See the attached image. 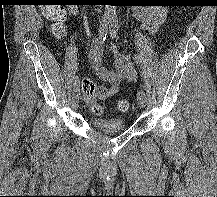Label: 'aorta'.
<instances>
[{
    "instance_id": "aorta-1",
    "label": "aorta",
    "mask_w": 217,
    "mask_h": 197,
    "mask_svg": "<svg viewBox=\"0 0 217 197\" xmlns=\"http://www.w3.org/2000/svg\"><path fill=\"white\" fill-rule=\"evenodd\" d=\"M104 17L107 20H114V19H116L115 6L105 5Z\"/></svg>"
}]
</instances>
